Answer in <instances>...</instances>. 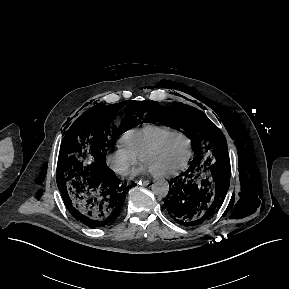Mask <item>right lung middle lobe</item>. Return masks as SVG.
Wrapping results in <instances>:
<instances>
[{
  "label": "right lung middle lobe",
  "instance_id": "obj_1",
  "mask_svg": "<svg viewBox=\"0 0 289 289\" xmlns=\"http://www.w3.org/2000/svg\"><path fill=\"white\" fill-rule=\"evenodd\" d=\"M140 101H125L117 104H98L81 115L68 129L63 139L57 167L59 190L70 185L81 171L105 164L103 148L109 136L116 137L140 123ZM126 107V114L118 130L111 131L110 124Z\"/></svg>",
  "mask_w": 289,
  "mask_h": 289
}]
</instances>
